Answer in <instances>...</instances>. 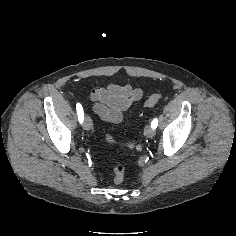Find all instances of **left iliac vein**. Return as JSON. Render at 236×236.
<instances>
[{
    "label": "left iliac vein",
    "instance_id": "4c4485c4",
    "mask_svg": "<svg viewBox=\"0 0 236 236\" xmlns=\"http://www.w3.org/2000/svg\"><path fill=\"white\" fill-rule=\"evenodd\" d=\"M155 129H153L151 126L147 125L144 129V134L149 137L152 138L155 135Z\"/></svg>",
    "mask_w": 236,
    "mask_h": 236
}]
</instances>
